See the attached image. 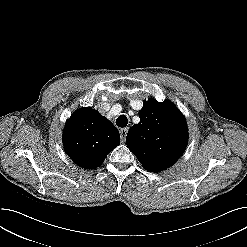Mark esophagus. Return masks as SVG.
I'll list each match as a JSON object with an SVG mask.
<instances>
[{"label": "esophagus", "instance_id": "34e87169", "mask_svg": "<svg viewBox=\"0 0 247 247\" xmlns=\"http://www.w3.org/2000/svg\"><path fill=\"white\" fill-rule=\"evenodd\" d=\"M127 132H128V127L120 129V136H121L122 141L125 140V138L127 136Z\"/></svg>", "mask_w": 247, "mask_h": 247}]
</instances>
